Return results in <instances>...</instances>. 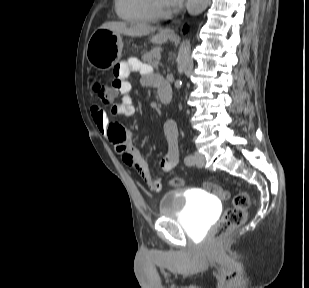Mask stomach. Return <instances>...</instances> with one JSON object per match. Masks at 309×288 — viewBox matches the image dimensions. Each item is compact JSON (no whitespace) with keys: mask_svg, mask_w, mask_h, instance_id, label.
I'll return each instance as SVG.
<instances>
[{"mask_svg":"<svg viewBox=\"0 0 309 288\" xmlns=\"http://www.w3.org/2000/svg\"><path fill=\"white\" fill-rule=\"evenodd\" d=\"M169 36L156 34L151 42L157 45L165 43ZM123 42L118 33L99 28L91 35L87 43L86 57L90 65L99 70H109L120 60Z\"/></svg>","mask_w":309,"mask_h":288,"instance_id":"obj_1","label":"stomach"}]
</instances>
